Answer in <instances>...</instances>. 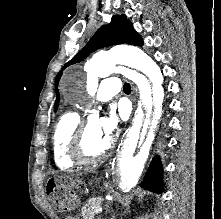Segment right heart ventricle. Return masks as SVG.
I'll return each mask as SVG.
<instances>
[{"instance_id": "e07e8e85", "label": "right heart ventricle", "mask_w": 221, "mask_h": 219, "mask_svg": "<svg viewBox=\"0 0 221 219\" xmlns=\"http://www.w3.org/2000/svg\"><path fill=\"white\" fill-rule=\"evenodd\" d=\"M81 122V117L76 111L63 113L54 126L52 134V151L55 165L59 169H68L75 163L69 157V145L74 132Z\"/></svg>"}]
</instances>
